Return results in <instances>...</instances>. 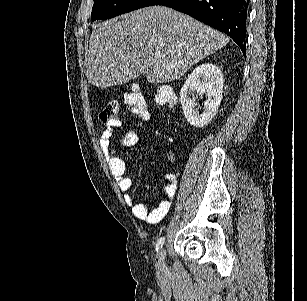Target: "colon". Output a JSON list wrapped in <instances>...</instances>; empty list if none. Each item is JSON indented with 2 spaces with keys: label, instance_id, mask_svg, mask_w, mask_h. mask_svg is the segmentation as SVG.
<instances>
[{
  "label": "colon",
  "instance_id": "colon-1",
  "mask_svg": "<svg viewBox=\"0 0 307 301\" xmlns=\"http://www.w3.org/2000/svg\"><path fill=\"white\" fill-rule=\"evenodd\" d=\"M155 100L159 105H172L175 101V94L171 87L158 85ZM124 102L131 108L139 123L145 122L149 118L147 102L141 90L133 88L124 96ZM119 106L117 101H109L99 114L100 120L107 124L118 120Z\"/></svg>",
  "mask_w": 307,
  "mask_h": 301
}]
</instances>
